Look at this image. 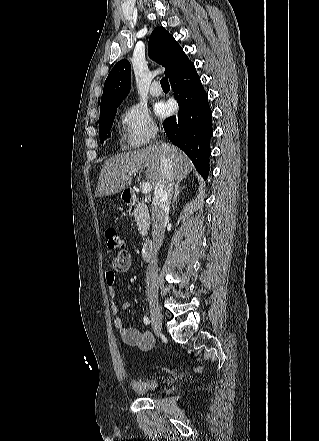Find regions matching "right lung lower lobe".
Instances as JSON below:
<instances>
[{"label":"right lung lower lobe","mask_w":319,"mask_h":441,"mask_svg":"<svg viewBox=\"0 0 319 441\" xmlns=\"http://www.w3.org/2000/svg\"><path fill=\"white\" fill-rule=\"evenodd\" d=\"M179 112L164 122L170 141L192 160L197 171L206 179L209 173L210 138L213 134L212 112L208 96L191 63L170 79Z\"/></svg>","instance_id":"1"}]
</instances>
